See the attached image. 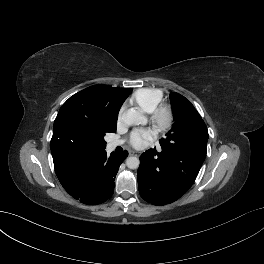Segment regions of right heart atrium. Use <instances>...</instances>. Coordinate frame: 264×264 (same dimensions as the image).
<instances>
[{
    "mask_svg": "<svg viewBox=\"0 0 264 264\" xmlns=\"http://www.w3.org/2000/svg\"><path fill=\"white\" fill-rule=\"evenodd\" d=\"M122 113H123V109H120V111L118 113V121H120V119L122 117Z\"/></svg>",
    "mask_w": 264,
    "mask_h": 264,
    "instance_id": "d8ad5b80",
    "label": "right heart atrium"
}]
</instances>
